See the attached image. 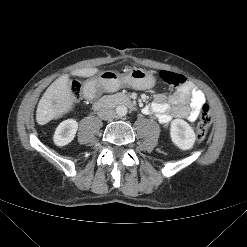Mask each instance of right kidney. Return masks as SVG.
<instances>
[{
    "mask_svg": "<svg viewBox=\"0 0 247 247\" xmlns=\"http://www.w3.org/2000/svg\"><path fill=\"white\" fill-rule=\"evenodd\" d=\"M78 123L74 119H67L61 122L55 130L53 141L57 146L69 144L75 137Z\"/></svg>",
    "mask_w": 247,
    "mask_h": 247,
    "instance_id": "obj_1",
    "label": "right kidney"
}]
</instances>
